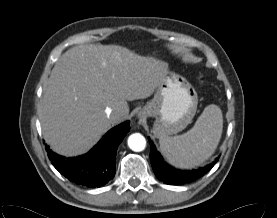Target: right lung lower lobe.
<instances>
[{
  "instance_id": "1",
  "label": "right lung lower lobe",
  "mask_w": 277,
  "mask_h": 218,
  "mask_svg": "<svg viewBox=\"0 0 277 218\" xmlns=\"http://www.w3.org/2000/svg\"><path fill=\"white\" fill-rule=\"evenodd\" d=\"M129 129V121L112 128L92 150L76 158L55 154L49 146L46 149L54 167L67 179L78 185L100 187L114 177L117 148Z\"/></svg>"
}]
</instances>
